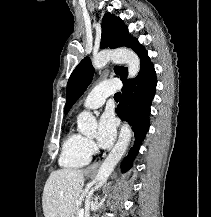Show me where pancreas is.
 Instances as JSON below:
<instances>
[{"mask_svg":"<svg viewBox=\"0 0 211 217\" xmlns=\"http://www.w3.org/2000/svg\"><path fill=\"white\" fill-rule=\"evenodd\" d=\"M80 208L75 206L70 217H79Z\"/></svg>","mask_w":211,"mask_h":217,"instance_id":"obj_1","label":"pancreas"}]
</instances>
